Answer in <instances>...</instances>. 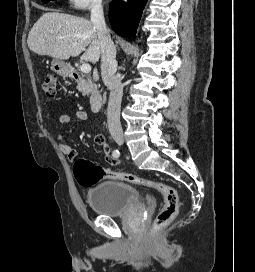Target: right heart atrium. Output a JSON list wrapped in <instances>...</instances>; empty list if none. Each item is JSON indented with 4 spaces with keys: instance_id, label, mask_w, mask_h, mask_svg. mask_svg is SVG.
<instances>
[{
    "instance_id": "1",
    "label": "right heart atrium",
    "mask_w": 255,
    "mask_h": 272,
    "mask_svg": "<svg viewBox=\"0 0 255 272\" xmlns=\"http://www.w3.org/2000/svg\"><path fill=\"white\" fill-rule=\"evenodd\" d=\"M102 2L103 0H69V5L76 10H88L101 7Z\"/></svg>"
}]
</instances>
